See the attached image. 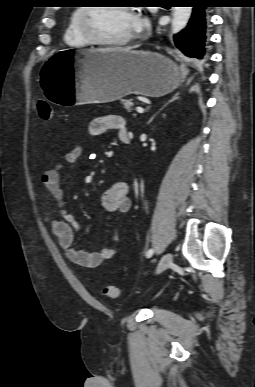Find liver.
Wrapping results in <instances>:
<instances>
[{
	"instance_id": "liver-1",
	"label": "liver",
	"mask_w": 255,
	"mask_h": 387,
	"mask_svg": "<svg viewBox=\"0 0 255 387\" xmlns=\"http://www.w3.org/2000/svg\"><path fill=\"white\" fill-rule=\"evenodd\" d=\"M132 48H103V49H97L98 51H120V52H125V51H130Z\"/></svg>"
}]
</instances>
